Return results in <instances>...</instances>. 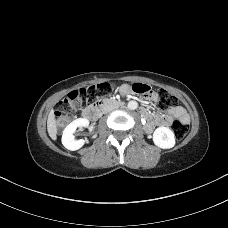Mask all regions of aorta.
<instances>
[{
    "mask_svg": "<svg viewBox=\"0 0 228 228\" xmlns=\"http://www.w3.org/2000/svg\"><path fill=\"white\" fill-rule=\"evenodd\" d=\"M127 107L130 110H135L138 107V103L136 101H133V100L132 101H129Z\"/></svg>",
    "mask_w": 228,
    "mask_h": 228,
    "instance_id": "762f6f07",
    "label": "aorta"
}]
</instances>
